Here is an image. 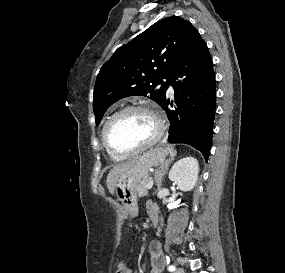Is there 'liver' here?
Segmentation results:
<instances>
[{
  "label": "liver",
  "mask_w": 285,
  "mask_h": 273,
  "mask_svg": "<svg viewBox=\"0 0 285 273\" xmlns=\"http://www.w3.org/2000/svg\"><path fill=\"white\" fill-rule=\"evenodd\" d=\"M138 157L129 160L127 162L124 163H120L115 165L109 172L108 176H107V188L109 190V192L113 195L114 194V190H115V182L117 180V178L119 177V175L126 169H128L130 166H132L136 161H137Z\"/></svg>",
  "instance_id": "1"
}]
</instances>
